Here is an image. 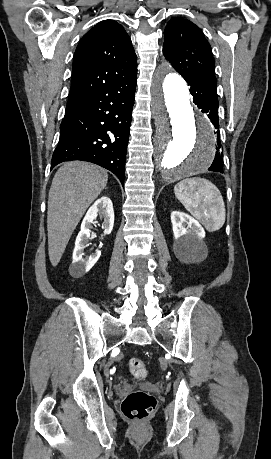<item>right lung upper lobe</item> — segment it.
<instances>
[{
  "label": "right lung upper lobe",
  "mask_w": 271,
  "mask_h": 459,
  "mask_svg": "<svg viewBox=\"0 0 271 459\" xmlns=\"http://www.w3.org/2000/svg\"><path fill=\"white\" fill-rule=\"evenodd\" d=\"M136 74V55L123 26L114 20L99 22L82 37L75 51L66 110Z\"/></svg>",
  "instance_id": "right-lung-upper-lobe-1"
}]
</instances>
